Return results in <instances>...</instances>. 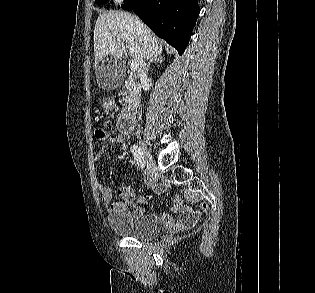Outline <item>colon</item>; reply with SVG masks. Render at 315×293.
I'll list each match as a JSON object with an SVG mask.
<instances>
[{
    "instance_id": "obj_1",
    "label": "colon",
    "mask_w": 315,
    "mask_h": 293,
    "mask_svg": "<svg viewBox=\"0 0 315 293\" xmlns=\"http://www.w3.org/2000/svg\"><path fill=\"white\" fill-rule=\"evenodd\" d=\"M94 136L97 140L102 141V140H105L107 138L108 134H107V131L103 127L97 126L94 128ZM122 190H125V189L120 188L119 194Z\"/></svg>"
}]
</instances>
